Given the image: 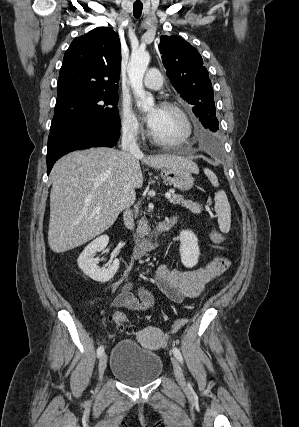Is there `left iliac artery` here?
I'll return each instance as SVG.
<instances>
[{"label": "left iliac artery", "mask_w": 299, "mask_h": 427, "mask_svg": "<svg viewBox=\"0 0 299 427\" xmlns=\"http://www.w3.org/2000/svg\"><path fill=\"white\" fill-rule=\"evenodd\" d=\"M173 354L179 360V362L183 363V358L178 348H173Z\"/></svg>", "instance_id": "1"}]
</instances>
